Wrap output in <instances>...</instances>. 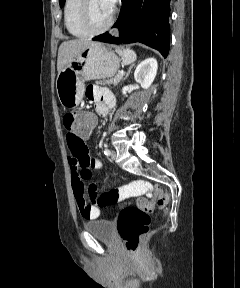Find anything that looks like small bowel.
Masks as SVG:
<instances>
[{"label":"small bowel","mask_w":240,"mask_h":288,"mask_svg":"<svg viewBox=\"0 0 240 288\" xmlns=\"http://www.w3.org/2000/svg\"><path fill=\"white\" fill-rule=\"evenodd\" d=\"M86 97L95 104L97 112L105 116L115 105L114 95L106 88L99 86H88ZM89 134L82 137L67 135V143L71 150L68 159L71 170V184L77 206L83 218L87 220L97 219L101 214V208L90 202V195L96 192L94 184L86 185V180L91 176L92 169H103V163L99 159L89 155L85 139ZM133 184L119 188L121 199L129 197L133 192Z\"/></svg>","instance_id":"obj_1"}]
</instances>
